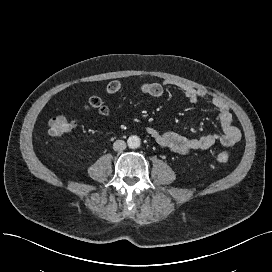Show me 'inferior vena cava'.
<instances>
[{"mask_svg": "<svg viewBox=\"0 0 272 272\" xmlns=\"http://www.w3.org/2000/svg\"><path fill=\"white\" fill-rule=\"evenodd\" d=\"M113 149L115 151H123L126 149V143L123 140H116L113 144Z\"/></svg>", "mask_w": 272, "mask_h": 272, "instance_id": "obj_1", "label": "inferior vena cava"}]
</instances>
